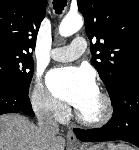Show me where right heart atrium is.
Returning a JSON list of instances; mask_svg holds the SVG:
<instances>
[{"label": "right heart atrium", "instance_id": "d8ad5b80", "mask_svg": "<svg viewBox=\"0 0 139 150\" xmlns=\"http://www.w3.org/2000/svg\"><path fill=\"white\" fill-rule=\"evenodd\" d=\"M30 100L34 111L44 118L61 119L67 112L66 107L49 93L39 78L31 91Z\"/></svg>", "mask_w": 139, "mask_h": 150}]
</instances>
